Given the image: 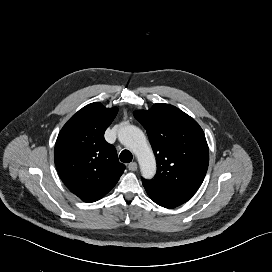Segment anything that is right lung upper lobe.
<instances>
[{
  "label": "right lung upper lobe",
  "mask_w": 272,
  "mask_h": 272,
  "mask_svg": "<svg viewBox=\"0 0 272 272\" xmlns=\"http://www.w3.org/2000/svg\"><path fill=\"white\" fill-rule=\"evenodd\" d=\"M118 109L91 103L61 129L54 150L58 173L67 188L84 202H95L118 182L125 165L104 132Z\"/></svg>",
  "instance_id": "1"
}]
</instances>
